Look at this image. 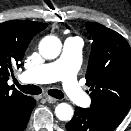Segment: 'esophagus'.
<instances>
[{
	"label": "esophagus",
	"mask_w": 131,
	"mask_h": 131,
	"mask_svg": "<svg viewBox=\"0 0 131 131\" xmlns=\"http://www.w3.org/2000/svg\"><path fill=\"white\" fill-rule=\"evenodd\" d=\"M45 99L48 103H51V104L56 103L58 101L56 98H53L51 96H45Z\"/></svg>",
	"instance_id": "obj_1"
}]
</instances>
